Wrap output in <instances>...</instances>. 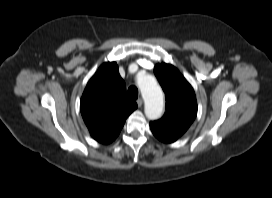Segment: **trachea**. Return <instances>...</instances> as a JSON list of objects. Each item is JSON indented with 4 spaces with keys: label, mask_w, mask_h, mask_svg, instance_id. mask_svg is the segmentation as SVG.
Instances as JSON below:
<instances>
[{
    "label": "trachea",
    "mask_w": 272,
    "mask_h": 198,
    "mask_svg": "<svg viewBox=\"0 0 272 198\" xmlns=\"http://www.w3.org/2000/svg\"><path fill=\"white\" fill-rule=\"evenodd\" d=\"M128 96L131 99L136 100L138 98V89L136 86H130L128 89Z\"/></svg>",
    "instance_id": "1"
}]
</instances>
